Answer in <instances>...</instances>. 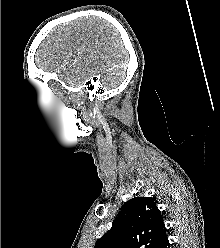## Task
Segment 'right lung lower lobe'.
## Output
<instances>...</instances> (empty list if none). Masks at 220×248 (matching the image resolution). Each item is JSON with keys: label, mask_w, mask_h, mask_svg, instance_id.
I'll return each mask as SVG.
<instances>
[{"label": "right lung lower lobe", "mask_w": 220, "mask_h": 248, "mask_svg": "<svg viewBox=\"0 0 220 248\" xmlns=\"http://www.w3.org/2000/svg\"><path fill=\"white\" fill-rule=\"evenodd\" d=\"M158 248H169V242L168 239L165 238L163 242L158 246Z\"/></svg>", "instance_id": "98d812e1"}]
</instances>
